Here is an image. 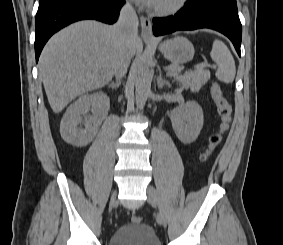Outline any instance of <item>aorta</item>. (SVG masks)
I'll use <instances>...</instances> for the list:
<instances>
[{
    "label": "aorta",
    "mask_w": 283,
    "mask_h": 245,
    "mask_svg": "<svg viewBox=\"0 0 283 245\" xmlns=\"http://www.w3.org/2000/svg\"><path fill=\"white\" fill-rule=\"evenodd\" d=\"M152 75L147 60H143L137 73L135 97L137 108L142 110L146 104L151 88Z\"/></svg>",
    "instance_id": "762f6f07"
}]
</instances>
